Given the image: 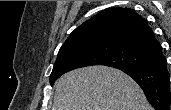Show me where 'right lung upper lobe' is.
<instances>
[{
	"label": "right lung upper lobe",
	"mask_w": 171,
	"mask_h": 110,
	"mask_svg": "<svg viewBox=\"0 0 171 110\" xmlns=\"http://www.w3.org/2000/svg\"><path fill=\"white\" fill-rule=\"evenodd\" d=\"M95 43L125 46L154 57L162 49L143 17L132 9L120 7L105 9L81 24L59 51Z\"/></svg>",
	"instance_id": "right-lung-upper-lobe-1"
}]
</instances>
